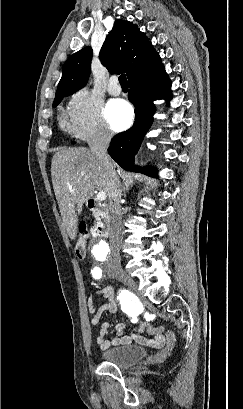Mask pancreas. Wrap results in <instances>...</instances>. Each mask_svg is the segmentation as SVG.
Segmentation results:
<instances>
[{"instance_id": "pancreas-1", "label": "pancreas", "mask_w": 243, "mask_h": 409, "mask_svg": "<svg viewBox=\"0 0 243 409\" xmlns=\"http://www.w3.org/2000/svg\"><path fill=\"white\" fill-rule=\"evenodd\" d=\"M99 215H100L99 212H97V213L94 214L95 218H98Z\"/></svg>"}]
</instances>
